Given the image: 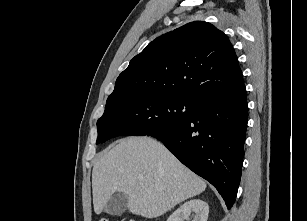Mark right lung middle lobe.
<instances>
[{"mask_svg":"<svg viewBox=\"0 0 307 221\" xmlns=\"http://www.w3.org/2000/svg\"><path fill=\"white\" fill-rule=\"evenodd\" d=\"M197 103L162 94L125 97L106 104L97 121V144L117 136L152 135L187 120Z\"/></svg>","mask_w":307,"mask_h":221,"instance_id":"1","label":"right lung middle lobe"}]
</instances>
